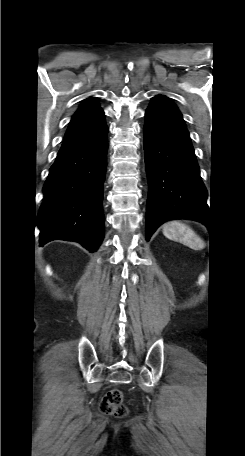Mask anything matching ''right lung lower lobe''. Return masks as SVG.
Segmentation results:
<instances>
[{"label": "right lung lower lobe", "mask_w": 245, "mask_h": 456, "mask_svg": "<svg viewBox=\"0 0 245 456\" xmlns=\"http://www.w3.org/2000/svg\"><path fill=\"white\" fill-rule=\"evenodd\" d=\"M93 142L59 151L43 191L37 225L40 245L52 240L80 242L95 252L104 237L103 183L107 164L105 123Z\"/></svg>", "instance_id": "obj_1"}]
</instances>
